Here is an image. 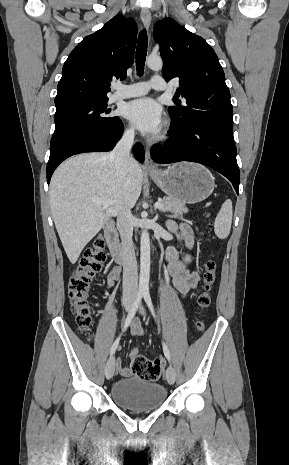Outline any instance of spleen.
<instances>
[{
	"label": "spleen",
	"instance_id": "1",
	"mask_svg": "<svg viewBox=\"0 0 289 465\" xmlns=\"http://www.w3.org/2000/svg\"><path fill=\"white\" fill-rule=\"evenodd\" d=\"M232 216V202L227 199L222 204L214 222V232L218 238L225 239L228 237L231 229Z\"/></svg>",
	"mask_w": 289,
	"mask_h": 465
}]
</instances>
